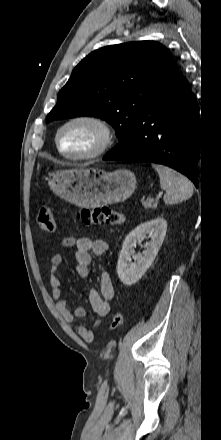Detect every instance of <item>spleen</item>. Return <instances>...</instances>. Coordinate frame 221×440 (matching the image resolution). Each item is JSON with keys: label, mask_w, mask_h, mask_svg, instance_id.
I'll list each match as a JSON object with an SVG mask.
<instances>
[{"label": "spleen", "mask_w": 221, "mask_h": 440, "mask_svg": "<svg viewBox=\"0 0 221 440\" xmlns=\"http://www.w3.org/2000/svg\"><path fill=\"white\" fill-rule=\"evenodd\" d=\"M153 168L159 175L161 188L166 190L165 204H177L193 195V185L187 177L163 165L153 164Z\"/></svg>", "instance_id": "3e777b00"}]
</instances>
